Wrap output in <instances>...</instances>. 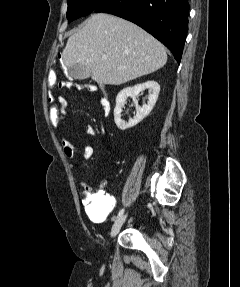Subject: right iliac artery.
<instances>
[{
    "label": "right iliac artery",
    "instance_id": "1",
    "mask_svg": "<svg viewBox=\"0 0 240 287\" xmlns=\"http://www.w3.org/2000/svg\"><path fill=\"white\" fill-rule=\"evenodd\" d=\"M123 213H124V209H121L116 218L118 219L119 217H121Z\"/></svg>",
    "mask_w": 240,
    "mask_h": 287
}]
</instances>
